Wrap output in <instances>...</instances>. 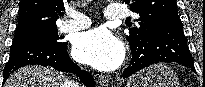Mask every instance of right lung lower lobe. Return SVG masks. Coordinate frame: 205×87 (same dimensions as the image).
<instances>
[{
	"instance_id": "obj_1",
	"label": "right lung lower lobe",
	"mask_w": 205,
	"mask_h": 87,
	"mask_svg": "<svg viewBox=\"0 0 205 87\" xmlns=\"http://www.w3.org/2000/svg\"><path fill=\"white\" fill-rule=\"evenodd\" d=\"M67 43L52 46L40 41H25L13 43L10 49V58L6 64L3 83L15 70L26 65L51 66L62 72L76 74L86 87H94V78L91 73L81 70L69 57Z\"/></svg>"
}]
</instances>
